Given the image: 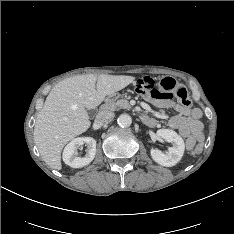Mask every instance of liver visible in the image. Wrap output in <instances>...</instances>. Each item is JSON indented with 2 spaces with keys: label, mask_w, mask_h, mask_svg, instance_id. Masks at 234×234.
Returning <instances> with one entry per match:
<instances>
[{
  "label": "liver",
  "mask_w": 234,
  "mask_h": 234,
  "mask_svg": "<svg viewBox=\"0 0 234 234\" xmlns=\"http://www.w3.org/2000/svg\"><path fill=\"white\" fill-rule=\"evenodd\" d=\"M135 77L126 75H79L55 85L39 111L34 141L43 161L60 170L63 147L91 125L87 109H94L107 95L125 88Z\"/></svg>",
  "instance_id": "1"
}]
</instances>
